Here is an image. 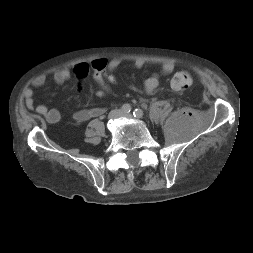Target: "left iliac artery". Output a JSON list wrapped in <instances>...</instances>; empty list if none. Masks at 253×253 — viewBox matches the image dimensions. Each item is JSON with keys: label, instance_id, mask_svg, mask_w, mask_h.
<instances>
[{"label": "left iliac artery", "instance_id": "obj_1", "mask_svg": "<svg viewBox=\"0 0 253 253\" xmlns=\"http://www.w3.org/2000/svg\"><path fill=\"white\" fill-rule=\"evenodd\" d=\"M133 116L136 118H142L143 117V111L141 109H135L133 111Z\"/></svg>", "mask_w": 253, "mask_h": 253}]
</instances>
